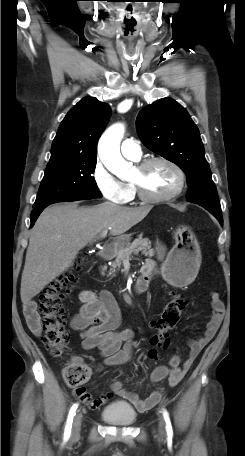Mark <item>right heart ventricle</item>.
I'll list each match as a JSON object with an SVG mask.
<instances>
[{"mask_svg":"<svg viewBox=\"0 0 245 456\" xmlns=\"http://www.w3.org/2000/svg\"><path fill=\"white\" fill-rule=\"evenodd\" d=\"M131 160H133V159H131ZM134 161H137V160H134ZM125 185H126V187L128 189V200H127V202H128V201H131V200L134 199V197L136 195V191H135V189H134V187H133V185L131 183H128V184H125Z\"/></svg>","mask_w":245,"mask_h":456,"instance_id":"obj_1","label":"right heart ventricle"}]
</instances>
